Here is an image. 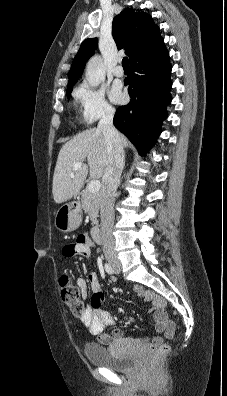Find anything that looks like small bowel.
<instances>
[{
    "label": "small bowel",
    "mask_w": 227,
    "mask_h": 396,
    "mask_svg": "<svg viewBox=\"0 0 227 396\" xmlns=\"http://www.w3.org/2000/svg\"><path fill=\"white\" fill-rule=\"evenodd\" d=\"M92 248V242L86 235L78 236L76 242L67 244L63 248V254L66 257L73 256L75 254L90 255ZM88 284L93 292L92 303L94 308H85L83 315L80 316L82 323L87 327L89 332L95 335L99 343L108 346L131 344L137 340L133 337H126L123 335V331L119 328L113 329L110 333L106 332V328L114 323V318L110 312L100 309L99 306L104 300V295L101 287V283L95 272H91L88 275V279L79 278L76 282V286L79 290L80 296L86 298L88 294ZM133 291L143 300L150 302L154 311V320L156 327L162 336L154 337L150 341V346L155 348L158 346L163 339H169L174 334V324L168 319L165 313L166 301L164 298L156 295L151 291L145 290L141 286H134Z\"/></svg>",
    "instance_id": "1"
}]
</instances>
